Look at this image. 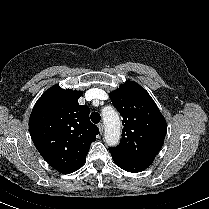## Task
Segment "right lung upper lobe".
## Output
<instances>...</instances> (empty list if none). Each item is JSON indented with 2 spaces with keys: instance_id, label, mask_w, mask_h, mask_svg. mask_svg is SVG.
I'll return each instance as SVG.
<instances>
[{
  "instance_id": "1",
  "label": "right lung upper lobe",
  "mask_w": 209,
  "mask_h": 209,
  "mask_svg": "<svg viewBox=\"0 0 209 209\" xmlns=\"http://www.w3.org/2000/svg\"><path fill=\"white\" fill-rule=\"evenodd\" d=\"M81 91L54 85L36 102L29 119L30 135L46 162L61 173L79 169L99 129L89 119L90 109L79 105Z\"/></svg>"
}]
</instances>
